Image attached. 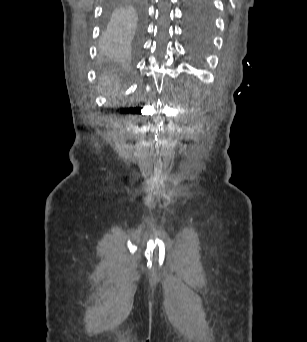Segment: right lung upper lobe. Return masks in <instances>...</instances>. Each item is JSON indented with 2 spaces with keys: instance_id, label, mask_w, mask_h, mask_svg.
I'll list each match as a JSON object with an SVG mask.
<instances>
[{
  "instance_id": "1",
  "label": "right lung upper lobe",
  "mask_w": 307,
  "mask_h": 342,
  "mask_svg": "<svg viewBox=\"0 0 307 342\" xmlns=\"http://www.w3.org/2000/svg\"><path fill=\"white\" fill-rule=\"evenodd\" d=\"M138 1L139 0H126V2H117L115 5L137 16L141 12V3Z\"/></svg>"
}]
</instances>
